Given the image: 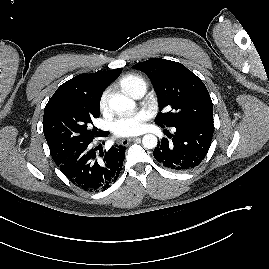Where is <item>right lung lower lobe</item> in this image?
<instances>
[{
	"label": "right lung lower lobe",
	"mask_w": 269,
	"mask_h": 269,
	"mask_svg": "<svg viewBox=\"0 0 269 269\" xmlns=\"http://www.w3.org/2000/svg\"><path fill=\"white\" fill-rule=\"evenodd\" d=\"M91 142L75 146L54 162L73 184L85 191L96 192L107 189L117 180L122 170L126 147L114 145L103 151L93 148Z\"/></svg>",
	"instance_id": "obj_1"
}]
</instances>
